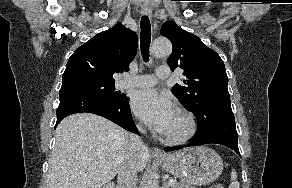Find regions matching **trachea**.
<instances>
[{
  "label": "trachea",
  "mask_w": 292,
  "mask_h": 188,
  "mask_svg": "<svg viewBox=\"0 0 292 188\" xmlns=\"http://www.w3.org/2000/svg\"><path fill=\"white\" fill-rule=\"evenodd\" d=\"M141 54L145 62L149 60V47L151 43V25L148 16L144 15L141 18Z\"/></svg>",
  "instance_id": "3493384b"
}]
</instances>
